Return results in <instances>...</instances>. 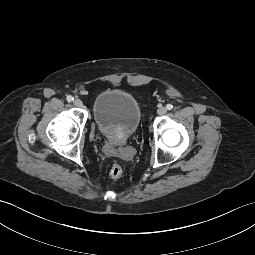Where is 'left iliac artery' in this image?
I'll return each instance as SVG.
<instances>
[{
    "label": "left iliac artery",
    "mask_w": 255,
    "mask_h": 255,
    "mask_svg": "<svg viewBox=\"0 0 255 255\" xmlns=\"http://www.w3.org/2000/svg\"><path fill=\"white\" fill-rule=\"evenodd\" d=\"M166 108H167L168 110H172V109H173V105H172V104H167V105H166Z\"/></svg>",
    "instance_id": "44dca946"
}]
</instances>
